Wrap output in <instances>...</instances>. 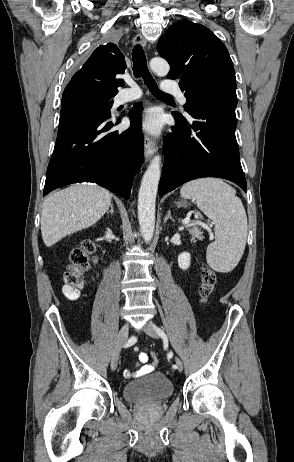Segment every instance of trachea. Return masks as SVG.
<instances>
[{
  "label": "trachea",
  "instance_id": "trachea-1",
  "mask_svg": "<svg viewBox=\"0 0 294 462\" xmlns=\"http://www.w3.org/2000/svg\"><path fill=\"white\" fill-rule=\"evenodd\" d=\"M133 73L136 78L142 77L149 91L158 98L173 99L170 95L159 90L155 80L147 67V60L141 45H136L132 50Z\"/></svg>",
  "mask_w": 294,
  "mask_h": 462
}]
</instances>
